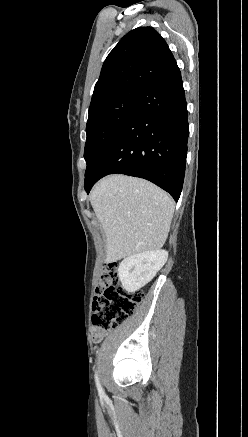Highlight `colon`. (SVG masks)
Here are the masks:
<instances>
[{
  "label": "colon",
  "mask_w": 248,
  "mask_h": 437,
  "mask_svg": "<svg viewBox=\"0 0 248 437\" xmlns=\"http://www.w3.org/2000/svg\"><path fill=\"white\" fill-rule=\"evenodd\" d=\"M143 292H127L120 284L117 265L108 264L97 284L93 300L94 327L107 330L127 320L143 299Z\"/></svg>",
  "instance_id": "5ec220e1"
}]
</instances>
